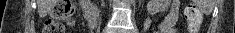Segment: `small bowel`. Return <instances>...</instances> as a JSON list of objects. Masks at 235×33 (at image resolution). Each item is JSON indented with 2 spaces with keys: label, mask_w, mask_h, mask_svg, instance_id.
Returning <instances> with one entry per match:
<instances>
[{
  "label": "small bowel",
  "mask_w": 235,
  "mask_h": 33,
  "mask_svg": "<svg viewBox=\"0 0 235 33\" xmlns=\"http://www.w3.org/2000/svg\"><path fill=\"white\" fill-rule=\"evenodd\" d=\"M179 17L178 2L172 1L169 13L164 20L158 25L154 33H177L176 24ZM150 21L146 22V27H149Z\"/></svg>",
  "instance_id": "small-bowel-1"
}]
</instances>
